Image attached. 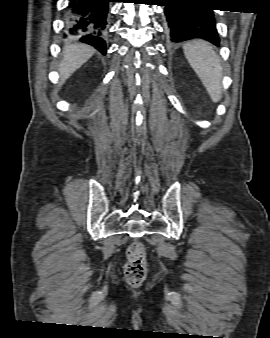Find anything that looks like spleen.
<instances>
[{
    "instance_id": "obj_1",
    "label": "spleen",
    "mask_w": 270,
    "mask_h": 338,
    "mask_svg": "<svg viewBox=\"0 0 270 338\" xmlns=\"http://www.w3.org/2000/svg\"><path fill=\"white\" fill-rule=\"evenodd\" d=\"M184 55L195 71L212 101L222 97V67L219 56L205 41H193L183 46Z\"/></svg>"
}]
</instances>
